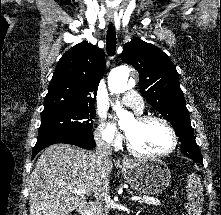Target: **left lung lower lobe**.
Here are the masks:
<instances>
[{
    "mask_svg": "<svg viewBox=\"0 0 221 215\" xmlns=\"http://www.w3.org/2000/svg\"><path fill=\"white\" fill-rule=\"evenodd\" d=\"M193 160H195V161H197V162L203 164L202 158H193Z\"/></svg>",
    "mask_w": 221,
    "mask_h": 215,
    "instance_id": "0a47b994",
    "label": "left lung lower lobe"
}]
</instances>
